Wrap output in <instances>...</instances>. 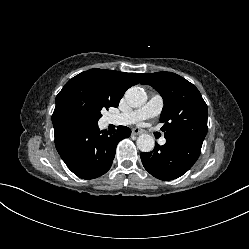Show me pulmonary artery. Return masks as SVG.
<instances>
[{"instance_id": "e3ab8cb5", "label": "pulmonary artery", "mask_w": 249, "mask_h": 249, "mask_svg": "<svg viewBox=\"0 0 249 249\" xmlns=\"http://www.w3.org/2000/svg\"><path fill=\"white\" fill-rule=\"evenodd\" d=\"M163 108V99L160 95L152 96L149 101L141 108L121 114L108 116V122L114 125H130L137 121L157 116ZM161 145L166 143L163 137L159 140Z\"/></svg>"}]
</instances>
